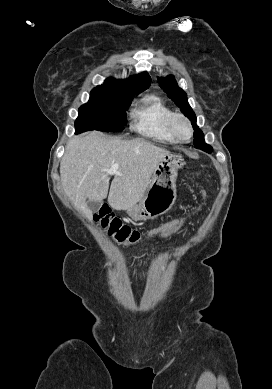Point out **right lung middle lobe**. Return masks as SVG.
<instances>
[{"instance_id": "1", "label": "right lung middle lobe", "mask_w": 272, "mask_h": 389, "mask_svg": "<svg viewBox=\"0 0 272 389\" xmlns=\"http://www.w3.org/2000/svg\"><path fill=\"white\" fill-rule=\"evenodd\" d=\"M133 95L93 89L88 103L79 108L75 121L76 133L90 130L121 131L126 124V110Z\"/></svg>"}]
</instances>
